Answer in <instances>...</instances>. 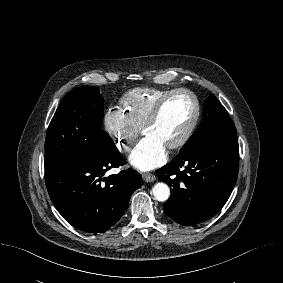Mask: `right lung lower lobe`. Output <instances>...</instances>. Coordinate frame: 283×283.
Returning a JSON list of instances; mask_svg holds the SVG:
<instances>
[{"label": "right lung lower lobe", "mask_w": 283, "mask_h": 283, "mask_svg": "<svg viewBox=\"0 0 283 283\" xmlns=\"http://www.w3.org/2000/svg\"><path fill=\"white\" fill-rule=\"evenodd\" d=\"M125 163L113 143L92 156L45 172L54 206L77 229L91 233L108 230L124 214L132 193L142 182V176L131 168L105 177L108 170Z\"/></svg>", "instance_id": "1"}]
</instances>
